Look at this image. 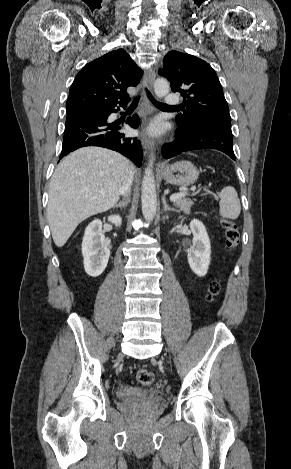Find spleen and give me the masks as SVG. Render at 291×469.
I'll use <instances>...</instances> for the list:
<instances>
[{"instance_id": "obj_1", "label": "spleen", "mask_w": 291, "mask_h": 469, "mask_svg": "<svg viewBox=\"0 0 291 469\" xmlns=\"http://www.w3.org/2000/svg\"><path fill=\"white\" fill-rule=\"evenodd\" d=\"M220 215L229 219H237L241 212L240 200L236 190L227 186L219 193Z\"/></svg>"}]
</instances>
